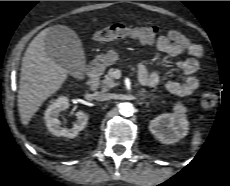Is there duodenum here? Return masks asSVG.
<instances>
[{"label":"duodenum","mask_w":230,"mask_h":186,"mask_svg":"<svg viewBox=\"0 0 230 186\" xmlns=\"http://www.w3.org/2000/svg\"><path fill=\"white\" fill-rule=\"evenodd\" d=\"M103 72V67L100 63L91 64L88 69L87 73L89 76V84L88 89L92 92L96 91L99 86V80Z\"/></svg>","instance_id":"obj_1"}]
</instances>
